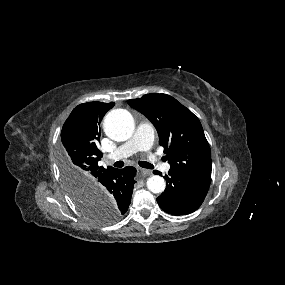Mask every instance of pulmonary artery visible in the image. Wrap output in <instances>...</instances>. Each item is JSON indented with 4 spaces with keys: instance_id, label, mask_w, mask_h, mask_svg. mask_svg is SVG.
I'll use <instances>...</instances> for the list:
<instances>
[{
    "instance_id": "e3ab8cb5",
    "label": "pulmonary artery",
    "mask_w": 285,
    "mask_h": 285,
    "mask_svg": "<svg viewBox=\"0 0 285 285\" xmlns=\"http://www.w3.org/2000/svg\"><path fill=\"white\" fill-rule=\"evenodd\" d=\"M154 140V129L151 124L141 122L130 140L119 146L116 150L107 156L108 160H115L131 156L138 151H149ZM151 163L161 171L167 173L170 170V164L162 162L155 154H149Z\"/></svg>"
}]
</instances>
